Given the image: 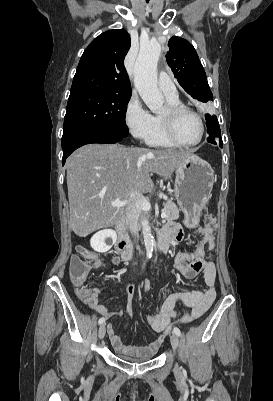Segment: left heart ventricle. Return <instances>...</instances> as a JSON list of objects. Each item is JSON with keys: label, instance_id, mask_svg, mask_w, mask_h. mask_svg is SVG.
Wrapping results in <instances>:
<instances>
[{"label": "left heart ventricle", "instance_id": "obj_1", "mask_svg": "<svg viewBox=\"0 0 273 401\" xmlns=\"http://www.w3.org/2000/svg\"><path fill=\"white\" fill-rule=\"evenodd\" d=\"M167 107L161 113L165 115ZM175 132L177 136L184 142L191 143L197 141L201 136V125L199 120L192 114L182 112L175 117Z\"/></svg>", "mask_w": 273, "mask_h": 401}]
</instances>
